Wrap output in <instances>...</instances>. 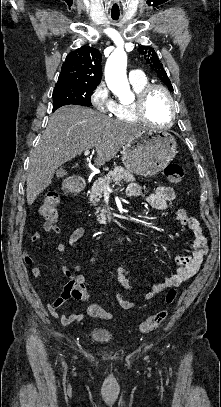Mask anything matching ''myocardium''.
<instances>
[{"label":"myocardium","mask_w":221,"mask_h":407,"mask_svg":"<svg viewBox=\"0 0 221 407\" xmlns=\"http://www.w3.org/2000/svg\"><path fill=\"white\" fill-rule=\"evenodd\" d=\"M155 91H161L165 94V96L167 97L170 106H171V116H170V120L167 124L163 125V126H155L153 124V122L149 119L147 112H146V106L148 103V100L150 98V96L152 95V93H154ZM176 102L172 96V94L170 93V91L159 84H150L147 87H145L136 97V100L134 102V110H135V114L138 118V120L148 124V125H152L154 127H156L157 129H168L170 127H172V125L175 122L176 119Z\"/></svg>","instance_id":"f54148a6"}]
</instances>
